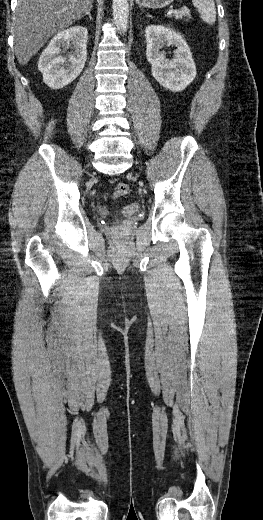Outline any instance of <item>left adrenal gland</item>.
Masks as SVG:
<instances>
[{
	"instance_id": "a2214340",
	"label": "left adrenal gland",
	"mask_w": 263,
	"mask_h": 520,
	"mask_svg": "<svg viewBox=\"0 0 263 520\" xmlns=\"http://www.w3.org/2000/svg\"><path fill=\"white\" fill-rule=\"evenodd\" d=\"M146 16H147V17H149V18H152V16H151V15H149L148 13L146 14Z\"/></svg>"
}]
</instances>
